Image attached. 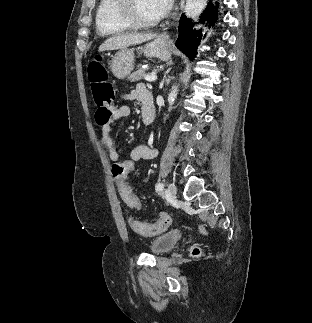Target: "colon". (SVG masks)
Instances as JSON below:
<instances>
[{
	"mask_svg": "<svg viewBox=\"0 0 312 323\" xmlns=\"http://www.w3.org/2000/svg\"><path fill=\"white\" fill-rule=\"evenodd\" d=\"M88 78L93 92L94 103L97 106L94 119L100 125H104L110 121L115 112L113 84L108 80V72L103 63L91 64L88 69ZM134 165L133 160H122L121 162H116V165H112L110 170L113 172L115 181L119 182L124 204H128L132 213H139L141 204L137 202L136 197H133L132 189L129 188L125 181L126 172H133ZM170 224L171 218L161 214L155 223L132 221L130 230L140 235H156L166 232ZM193 253L194 255L199 254L197 247L194 248Z\"/></svg>",
	"mask_w": 312,
	"mask_h": 323,
	"instance_id": "obj_1",
	"label": "colon"
}]
</instances>
